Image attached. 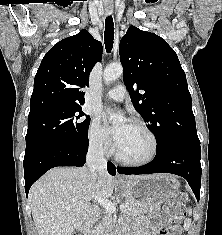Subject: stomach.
Segmentation results:
<instances>
[{"mask_svg":"<svg viewBox=\"0 0 222 235\" xmlns=\"http://www.w3.org/2000/svg\"><path fill=\"white\" fill-rule=\"evenodd\" d=\"M178 188L179 182L171 175L145 176L121 182L126 200L140 208H150L164 202L173 196Z\"/></svg>","mask_w":222,"mask_h":235,"instance_id":"obj_1","label":"stomach"}]
</instances>
